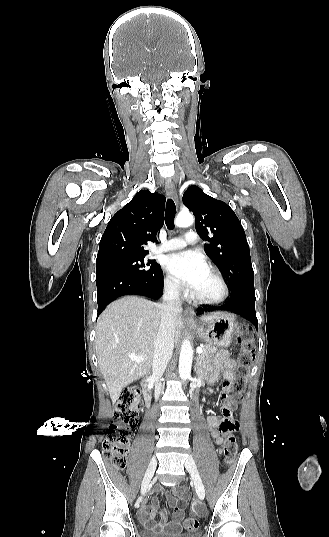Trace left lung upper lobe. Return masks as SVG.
Wrapping results in <instances>:
<instances>
[{
  "label": "left lung upper lobe",
  "mask_w": 329,
  "mask_h": 537,
  "mask_svg": "<svg viewBox=\"0 0 329 537\" xmlns=\"http://www.w3.org/2000/svg\"><path fill=\"white\" fill-rule=\"evenodd\" d=\"M183 202L195 216L199 236L210 242L204 250L226 278L231 297L241 294L255 296L249 245L234 211L197 186H190L185 191Z\"/></svg>",
  "instance_id": "left-lung-upper-lobe-1"
}]
</instances>
